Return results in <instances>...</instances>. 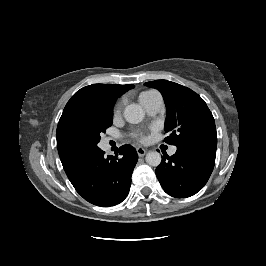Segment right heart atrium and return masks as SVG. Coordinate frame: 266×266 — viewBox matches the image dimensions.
Listing matches in <instances>:
<instances>
[{
	"instance_id": "1",
	"label": "right heart atrium",
	"mask_w": 266,
	"mask_h": 266,
	"mask_svg": "<svg viewBox=\"0 0 266 266\" xmlns=\"http://www.w3.org/2000/svg\"><path fill=\"white\" fill-rule=\"evenodd\" d=\"M120 110V107L117 108V112Z\"/></svg>"
}]
</instances>
